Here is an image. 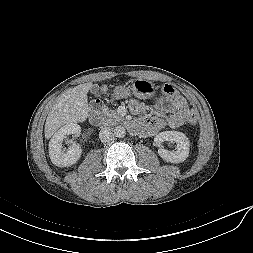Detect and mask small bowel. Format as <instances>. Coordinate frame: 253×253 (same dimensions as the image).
Returning a JSON list of instances; mask_svg holds the SVG:
<instances>
[{
    "label": "small bowel",
    "mask_w": 253,
    "mask_h": 253,
    "mask_svg": "<svg viewBox=\"0 0 253 253\" xmlns=\"http://www.w3.org/2000/svg\"><path fill=\"white\" fill-rule=\"evenodd\" d=\"M129 107L136 115H141L146 111V106L136 100L131 101ZM156 108L168 117L166 119L142 117L132 124L136 128L142 126L148 133H156L164 128H179L188 120L191 113L187 101L180 95L161 99L156 104Z\"/></svg>",
    "instance_id": "small-bowel-1"
}]
</instances>
